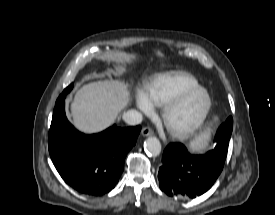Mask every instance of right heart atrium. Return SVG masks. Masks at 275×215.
<instances>
[{
  "instance_id": "obj_1",
  "label": "right heart atrium",
  "mask_w": 275,
  "mask_h": 215,
  "mask_svg": "<svg viewBox=\"0 0 275 215\" xmlns=\"http://www.w3.org/2000/svg\"><path fill=\"white\" fill-rule=\"evenodd\" d=\"M137 105L139 109L145 114H151L154 110V104L151 102L147 93L140 91L137 95Z\"/></svg>"
}]
</instances>
